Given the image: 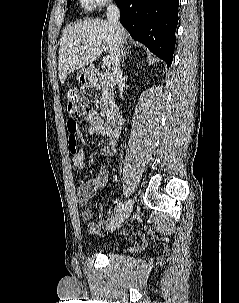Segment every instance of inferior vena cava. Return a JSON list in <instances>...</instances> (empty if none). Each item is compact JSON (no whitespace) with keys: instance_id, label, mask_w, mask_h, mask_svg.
I'll return each mask as SVG.
<instances>
[{"instance_id":"1","label":"inferior vena cava","mask_w":239,"mask_h":303,"mask_svg":"<svg viewBox=\"0 0 239 303\" xmlns=\"http://www.w3.org/2000/svg\"><path fill=\"white\" fill-rule=\"evenodd\" d=\"M107 20L114 26L116 35L119 37V46L115 52V60H114V75L119 80L122 77V71L120 69V61H121V52H122V38L124 29L119 22L120 11L115 4H110L107 8L106 12Z\"/></svg>"}]
</instances>
